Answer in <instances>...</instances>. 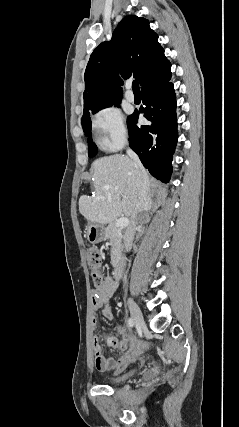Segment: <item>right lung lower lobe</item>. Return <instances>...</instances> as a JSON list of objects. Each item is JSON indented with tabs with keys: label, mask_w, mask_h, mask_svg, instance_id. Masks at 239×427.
I'll return each mask as SVG.
<instances>
[{
	"label": "right lung lower lobe",
	"mask_w": 239,
	"mask_h": 427,
	"mask_svg": "<svg viewBox=\"0 0 239 427\" xmlns=\"http://www.w3.org/2000/svg\"><path fill=\"white\" fill-rule=\"evenodd\" d=\"M170 79L171 71L141 88L145 107L140 113L151 121L149 125L137 126L139 112L127 119L130 147L150 174L164 183L170 180L178 139L176 97Z\"/></svg>",
	"instance_id": "98d812e1"
}]
</instances>
